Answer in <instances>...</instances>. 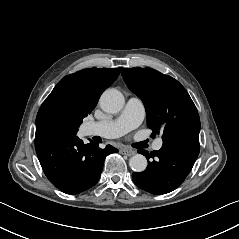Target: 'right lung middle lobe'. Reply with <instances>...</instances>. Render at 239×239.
Segmentation results:
<instances>
[{
  "mask_svg": "<svg viewBox=\"0 0 239 239\" xmlns=\"http://www.w3.org/2000/svg\"><path fill=\"white\" fill-rule=\"evenodd\" d=\"M90 111L82 106L57 99L47 104L36 117V129H57L76 135L84 117Z\"/></svg>",
  "mask_w": 239,
  "mask_h": 239,
  "instance_id": "dd1d6c3e",
  "label": "right lung middle lobe"
}]
</instances>
